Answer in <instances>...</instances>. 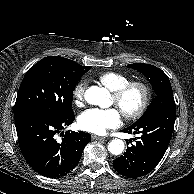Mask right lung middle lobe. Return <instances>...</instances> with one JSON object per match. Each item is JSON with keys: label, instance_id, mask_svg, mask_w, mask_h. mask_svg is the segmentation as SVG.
Instances as JSON below:
<instances>
[{"label": "right lung middle lobe", "instance_id": "1", "mask_svg": "<svg viewBox=\"0 0 194 194\" xmlns=\"http://www.w3.org/2000/svg\"><path fill=\"white\" fill-rule=\"evenodd\" d=\"M90 68L59 56L41 59L25 74L14 113L41 110L60 117L72 113L73 90Z\"/></svg>", "mask_w": 194, "mask_h": 194}]
</instances>
